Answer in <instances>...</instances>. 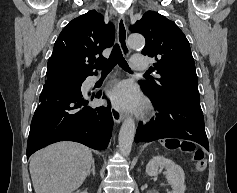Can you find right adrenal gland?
Returning <instances> with one entry per match:
<instances>
[{
    "label": "right adrenal gland",
    "instance_id": "obj_1",
    "mask_svg": "<svg viewBox=\"0 0 237 193\" xmlns=\"http://www.w3.org/2000/svg\"><path fill=\"white\" fill-rule=\"evenodd\" d=\"M90 173H92L93 175H95V162L93 161L92 162V168H91V170H90V172L88 173V176L90 175Z\"/></svg>",
    "mask_w": 237,
    "mask_h": 193
}]
</instances>
